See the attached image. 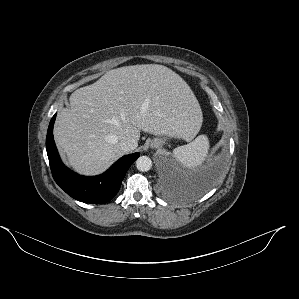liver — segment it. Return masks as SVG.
Here are the masks:
<instances>
[{"label": "liver", "mask_w": 299, "mask_h": 299, "mask_svg": "<svg viewBox=\"0 0 299 299\" xmlns=\"http://www.w3.org/2000/svg\"><path fill=\"white\" fill-rule=\"evenodd\" d=\"M70 107L60 109L54 139L78 173L104 172L125 152L120 141L140 131L192 140L202 112L189 85L158 64L120 67L75 90Z\"/></svg>", "instance_id": "obj_1"}]
</instances>
